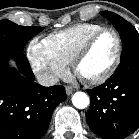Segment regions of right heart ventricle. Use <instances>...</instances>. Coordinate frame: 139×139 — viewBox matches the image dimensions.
<instances>
[{
    "label": "right heart ventricle",
    "mask_w": 139,
    "mask_h": 139,
    "mask_svg": "<svg viewBox=\"0 0 139 139\" xmlns=\"http://www.w3.org/2000/svg\"><path fill=\"white\" fill-rule=\"evenodd\" d=\"M102 27L97 23H80L51 33L44 41L58 57L70 63L86 39Z\"/></svg>",
    "instance_id": "obj_1"
}]
</instances>
